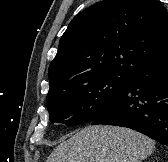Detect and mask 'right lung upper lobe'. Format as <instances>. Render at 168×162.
I'll list each match as a JSON object with an SVG mask.
<instances>
[{
  "label": "right lung upper lobe",
  "instance_id": "cb5924a9",
  "mask_svg": "<svg viewBox=\"0 0 168 162\" xmlns=\"http://www.w3.org/2000/svg\"><path fill=\"white\" fill-rule=\"evenodd\" d=\"M168 58V12L157 0H104L77 14L49 66V92L86 77L135 72Z\"/></svg>",
  "mask_w": 168,
  "mask_h": 162
}]
</instances>
